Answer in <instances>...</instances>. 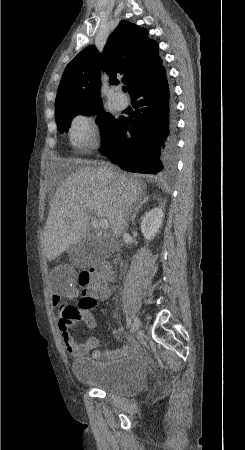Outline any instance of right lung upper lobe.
Returning <instances> with one entry per match:
<instances>
[{
	"label": "right lung upper lobe",
	"instance_id": "cb5924a9",
	"mask_svg": "<svg viewBox=\"0 0 245 450\" xmlns=\"http://www.w3.org/2000/svg\"><path fill=\"white\" fill-rule=\"evenodd\" d=\"M148 31L122 21L108 38L102 54L95 46L81 51L65 68L55 100L61 104L102 105L100 97L101 67L111 76L110 84H118L117 73L131 94L144 80L162 67L158 43Z\"/></svg>",
	"mask_w": 245,
	"mask_h": 450
}]
</instances>
